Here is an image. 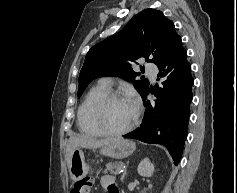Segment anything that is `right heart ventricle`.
<instances>
[{
    "label": "right heart ventricle",
    "mask_w": 237,
    "mask_h": 193,
    "mask_svg": "<svg viewBox=\"0 0 237 193\" xmlns=\"http://www.w3.org/2000/svg\"><path fill=\"white\" fill-rule=\"evenodd\" d=\"M108 91L109 87L100 83L91 88L84 97L77 112V125L81 133L93 137L102 136L100 131L92 123L91 110L96 100Z\"/></svg>",
    "instance_id": "obj_1"
}]
</instances>
